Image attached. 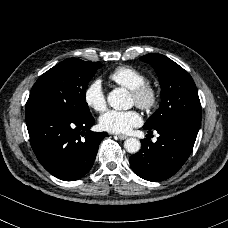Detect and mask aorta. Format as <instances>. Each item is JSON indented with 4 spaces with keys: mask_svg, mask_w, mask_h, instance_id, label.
I'll return each instance as SVG.
<instances>
[{
    "mask_svg": "<svg viewBox=\"0 0 228 228\" xmlns=\"http://www.w3.org/2000/svg\"><path fill=\"white\" fill-rule=\"evenodd\" d=\"M108 104L115 110H127L133 106V101L129 92L125 88L113 89L107 97ZM124 147L129 153H136L141 148V143L136 138H128L124 142Z\"/></svg>",
    "mask_w": 228,
    "mask_h": 228,
    "instance_id": "obj_1",
    "label": "aorta"
}]
</instances>
